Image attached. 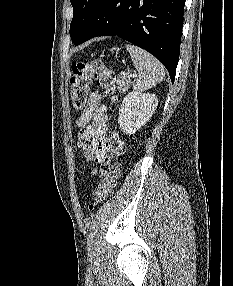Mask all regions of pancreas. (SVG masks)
Masks as SVG:
<instances>
[{"instance_id": "obj_1", "label": "pancreas", "mask_w": 233, "mask_h": 286, "mask_svg": "<svg viewBox=\"0 0 233 286\" xmlns=\"http://www.w3.org/2000/svg\"><path fill=\"white\" fill-rule=\"evenodd\" d=\"M130 85V80L123 75L117 79V88L120 92L126 91Z\"/></svg>"}]
</instances>
